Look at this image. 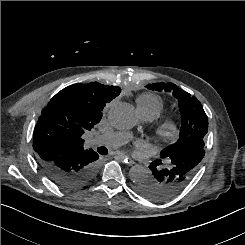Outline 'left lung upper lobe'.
<instances>
[{
    "label": "left lung upper lobe",
    "instance_id": "left-lung-upper-lobe-1",
    "mask_svg": "<svg viewBox=\"0 0 245 245\" xmlns=\"http://www.w3.org/2000/svg\"><path fill=\"white\" fill-rule=\"evenodd\" d=\"M146 87L150 90L172 92L179 101L181 113L180 137L177 142L161 151V159H165L188 147L204 148L203 140L208 130V118L197 98L191 97L189 93L173 83H153Z\"/></svg>",
    "mask_w": 245,
    "mask_h": 245
}]
</instances>
